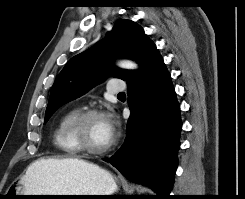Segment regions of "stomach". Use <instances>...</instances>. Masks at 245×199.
<instances>
[{
  "label": "stomach",
  "mask_w": 245,
  "mask_h": 199,
  "mask_svg": "<svg viewBox=\"0 0 245 199\" xmlns=\"http://www.w3.org/2000/svg\"><path fill=\"white\" fill-rule=\"evenodd\" d=\"M27 183V186H26ZM14 195H112L117 190L116 179L99 166L86 162L71 164L66 169L46 174L34 184L23 177L11 186ZM20 198L27 196H19ZM90 197H41L40 199H72Z\"/></svg>",
  "instance_id": "stomach-1"
}]
</instances>
